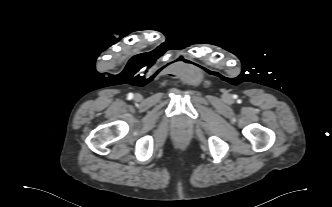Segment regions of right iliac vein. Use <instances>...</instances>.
I'll return each mask as SVG.
<instances>
[{"label": "right iliac vein", "instance_id": "63e3f726", "mask_svg": "<svg viewBox=\"0 0 332 207\" xmlns=\"http://www.w3.org/2000/svg\"><path fill=\"white\" fill-rule=\"evenodd\" d=\"M135 98H136V100H141V95L140 94H136Z\"/></svg>", "mask_w": 332, "mask_h": 207}]
</instances>
